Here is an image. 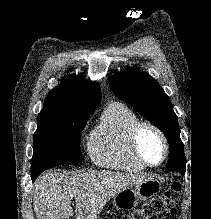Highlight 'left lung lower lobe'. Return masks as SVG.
<instances>
[{"instance_id": "left-lung-lower-lobe-1", "label": "left lung lower lobe", "mask_w": 211, "mask_h": 219, "mask_svg": "<svg viewBox=\"0 0 211 219\" xmlns=\"http://www.w3.org/2000/svg\"><path fill=\"white\" fill-rule=\"evenodd\" d=\"M167 167L173 168L175 171L181 173L185 172V162L182 161L181 153L178 150L170 149Z\"/></svg>"}]
</instances>
